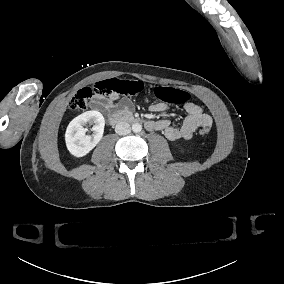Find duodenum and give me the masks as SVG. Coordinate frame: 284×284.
Masks as SVG:
<instances>
[{
	"label": "duodenum",
	"mask_w": 284,
	"mask_h": 284,
	"mask_svg": "<svg viewBox=\"0 0 284 284\" xmlns=\"http://www.w3.org/2000/svg\"><path fill=\"white\" fill-rule=\"evenodd\" d=\"M135 120L136 118L128 112L126 113L113 112L110 114L109 117V121L112 125H118L125 122L133 123L135 122Z\"/></svg>",
	"instance_id": "obj_1"
}]
</instances>
